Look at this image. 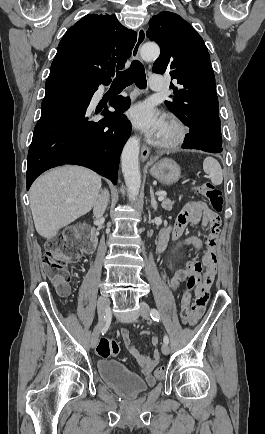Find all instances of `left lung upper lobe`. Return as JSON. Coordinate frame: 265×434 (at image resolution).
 Masks as SVG:
<instances>
[{
    "mask_svg": "<svg viewBox=\"0 0 265 434\" xmlns=\"http://www.w3.org/2000/svg\"><path fill=\"white\" fill-rule=\"evenodd\" d=\"M147 37L161 49L152 71L176 80L167 108L191 129L221 135L215 76L202 37L179 15L164 11L149 21Z\"/></svg>",
    "mask_w": 265,
    "mask_h": 434,
    "instance_id": "5c2ea615",
    "label": "left lung upper lobe"
}]
</instances>
